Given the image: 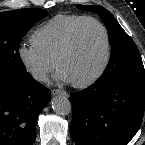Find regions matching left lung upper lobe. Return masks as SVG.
<instances>
[{
  "label": "left lung upper lobe",
  "mask_w": 145,
  "mask_h": 145,
  "mask_svg": "<svg viewBox=\"0 0 145 145\" xmlns=\"http://www.w3.org/2000/svg\"><path fill=\"white\" fill-rule=\"evenodd\" d=\"M81 10L97 13L104 22L111 44L110 61L96 85H105L114 80L145 75L138 48L131 37L123 30L114 16L99 5H78Z\"/></svg>",
  "instance_id": "left-lung-upper-lobe-1"
}]
</instances>
